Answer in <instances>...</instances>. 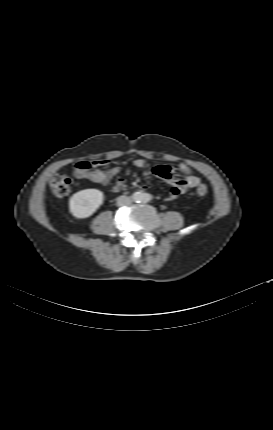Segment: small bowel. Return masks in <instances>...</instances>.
<instances>
[{
    "label": "small bowel",
    "mask_w": 273,
    "mask_h": 430,
    "mask_svg": "<svg viewBox=\"0 0 273 430\" xmlns=\"http://www.w3.org/2000/svg\"><path fill=\"white\" fill-rule=\"evenodd\" d=\"M106 162L107 161L105 160L77 162L74 166V174L78 178H83L95 183L107 185L110 180L119 174V167L114 166L107 170H91L92 167L103 165ZM132 164L136 168L143 169L146 166V160L143 158H137L132 161ZM179 170L185 175L183 179L176 178L174 176L173 169L168 166H159L153 169V173L156 176L164 179L170 185L168 200H175L189 189H194L200 184V179L193 174L190 166L185 163H181L179 165ZM125 188V181L122 178H119L111 190L113 192H119Z\"/></svg>",
    "instance_id": "c3829d8e"
}]
</instances>
